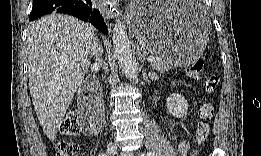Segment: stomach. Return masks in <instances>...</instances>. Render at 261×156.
<instances>
[{"mask_svg":"<svg viewBox=\"0 0 261 156\" xmlns=\"http://www.w3.org/2000/svg\"><path fill=\"white\" fill-rule=\"evenodd\" d=\"M139 42L176 66L200 58L210 35V21L197 2H136L130 10Z\"/></svg>","mask_w":261,"mask_h":156,"instance_id":"0dacf381","label":"stomach"}]
</instances>
